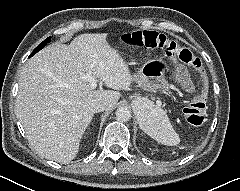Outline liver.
Here are the masks:
<instances>
[{
	"mask_svg": "<svg viewBox=\"0 0 240 191\" xmlns=\"http://www.w3.org/2000/svg\"><path fill=\"white\" fill-rule=\"evenodd\" d=\"M106 33L81 34L69 46L52 44L30 58L22 69L16 113L31 146L60 163L73 160L93 116V105L116 106L132 83L123 58L106 42ZM91 74L113 90H92Z\"/></svg>",
	"mask_w": 240,
	"mask_h": 191,
	"instance_id": "liver-1",
	"label": "liver"
}]
</instances>
